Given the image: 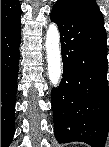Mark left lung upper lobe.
Wrapping results in <instances>:
<instances>
[{"mask_svg":"<svg viewBox=\"0 0 109 147\" xmlns=\"http://www.w3.org/2000/svg\"><path fill=\"white\" fill-rule=\"evenodd\" d=\"M57 6H61L79 17L104 28L103 15L95 0H58ZM81 79L78 73L71 72L66 76V83L70 90H76L80 87Z\"/></svg>","mask_w":109,"mask_h":147,"instance_id":"obj_1","label":"left lung upper lobe"}]
</instances>
